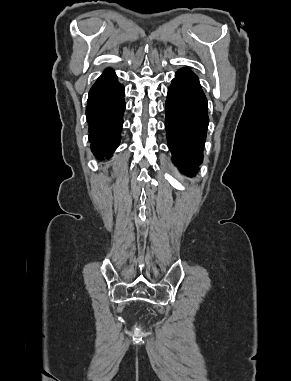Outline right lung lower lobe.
<instances>
[{"label":"right lung lower lobe","mask_w":291,"mask_h":381,"mask_svg":"<svg viewBox=\"0 0 291 381\" xmlns=\"http://www.w3.org/2000/svg\"><path fill=\"white\" fill-rule=\"evenodd\" d=\"M124 110V88L108 68L90 89L86 108L89 141L97 158L111 157L118 147Z\"/></svg>","instance_id":"obj_1"}]
</instances>
